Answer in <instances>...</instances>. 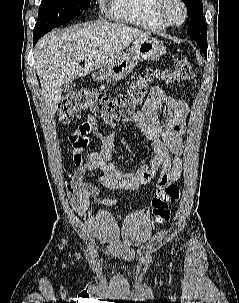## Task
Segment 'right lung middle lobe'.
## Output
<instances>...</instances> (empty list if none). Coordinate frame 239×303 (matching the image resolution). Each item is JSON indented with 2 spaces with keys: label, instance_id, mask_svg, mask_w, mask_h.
Masks as SVG:
<instances>
[{
  "label": "right lung middle lobe",
  "instance_id": "right-lung-middle-lobe-1",
  "mask_svg": "<svg viewBox=\"0 0 239 303\" xmlns=\"http://www.w3.org/2000/svg\"><path fill=\"white\" fill-rule=\"evenodd\" d=\"M89 6L90 0H42L34 31L47 33L88 10Z\"/></svg>",
  "mask_w": 239,
  "mask_h": 303
}]
</instances>
